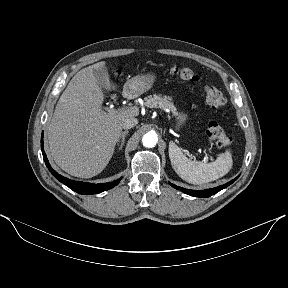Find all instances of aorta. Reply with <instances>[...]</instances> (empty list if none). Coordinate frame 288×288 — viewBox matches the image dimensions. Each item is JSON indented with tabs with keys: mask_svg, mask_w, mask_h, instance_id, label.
<instances>
[{
	"mask_svg": "<svg viewBox=\"0 0 288 288\" xmlns=\"http://www.w3.org/2000/svg\"><path fill=\"white\" fill-rule=\"evenodd\" d=\"M158 141L157 135L153 132L146 133L142 138V143L147 148H152Z\"/></svg>",
	"mask_w": 288,
	"mask_h": 288,
	"instance_id": "1",
	"label": "aorta"
}]
</instances>
